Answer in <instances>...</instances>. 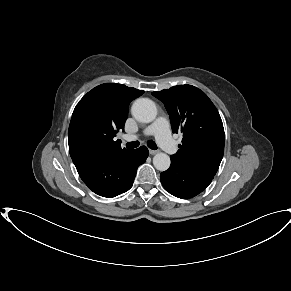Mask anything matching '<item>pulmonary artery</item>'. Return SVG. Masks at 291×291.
<instances>
[{
    "label": "pulmonary artery",
    "instance_id": "e3ab8cb5",
    "mask_svg": "<svg viewBox=\"0 0 291 291\" xmlns=\"http://www.w3.org/2000/svg\"><path fill=\"white\" fill-rule=\"evenodd\" d=\"M144 135H154L159 145L169 154H174L177 151V144L173 141L169 131V121L165 117L157 118L145 130ZM137 135H125L124 139L132 141L137 139Z\"/></svg>",
    "mask_w": 291,
    "mask_h": 291
}]
</instances>
